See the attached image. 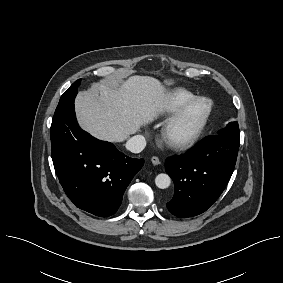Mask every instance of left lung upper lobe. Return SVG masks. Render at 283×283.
I'll list each match as a JSON object with an SVG mask.
<instances>
[{
  "mask_svg": "<svg viewBox=\"0 0 283 283\" xmlns=\"http://www.w3.org/2000/svg\"><path fill=\"white\" fill-rule=\"evenodd\" d=\"M218 135L226 137L234 142L239 143L240 132L237 122H232L227 125L225 129H222L218 132Z\"/></svg>",
  "mask_w": 283,
  "mask_h": 283,
  "instance_id": "left-lung-upper-lobe-1",
  "label": "left lung upper lobe"
}]
</instances>
